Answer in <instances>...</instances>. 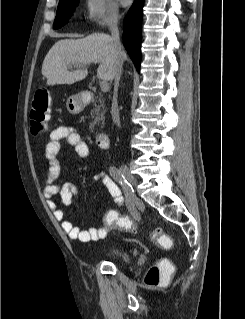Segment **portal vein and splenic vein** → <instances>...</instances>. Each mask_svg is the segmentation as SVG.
Returning a JSON list of instances; mask_svg holds the SVG:
<instances>
[{"label":"portal vein and splenic vein","mask_w":245,"mask_h":319,"mask_svg":"<svg viewBox=\"0 0 245 319\" xmlns=\"http://www.w3.org/2000/svg\"><path fill=\"white\" fill-rule=\"evenodd\" d=\"M77 67H81V68H83V67H85L84 65H76ZM100 87H101V90L103 91V92H108L109 91V84L107 83V81L106 80H102L101 82H100Z\"/></svg>","instance_id":"1"}]
</instances>
